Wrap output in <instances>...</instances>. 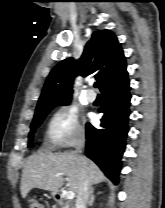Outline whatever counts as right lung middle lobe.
<instances>
[{"label":"right lung middle lobe","mask_w":165,"mask_h":208,"mask_svg":"<svg viewBox=\"0 0 165 208\" xmlns=\"http://www.w3.org/2000/svg\"><path fill=\"white\" fill-rule=\"evenodd\" d=\"M70 102H65V103H58V104H64V105H68ZM57 104H53L51 106H48L42 110H40L39 112L35 113L34 119L31 123V130H30V134H29V143H28V147H30L32 145V140H33V135L35 133V130L37 127H39V125L42 123V121L44 120V118L46 117V114Z\"/></svg>","instance_id":"right-lung-middle-lobe-1"}]
</instances>
